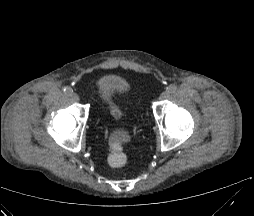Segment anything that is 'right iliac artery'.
<instances>
[{
    "label": "right iliac artery",
    "instance_id": "obj_1",
    "mask_svg": "<svg viewBox=\"0 0 254 216\" xmlns=\"http://www.w3.org/2000/svg\"><path fill=\"white\" fill-rule=\"evenodd\" d=\"M64 92L67 94V95H71L73 93V90L70 88V87H66L64 89Z\"/></svg>",
    "mask_w": 254,
    "mask_h": 216
}]
</instances>
